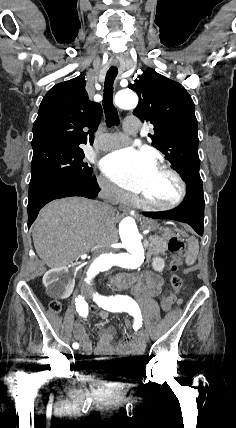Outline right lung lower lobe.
<instances>
[{
  "mask_svg": "<svg viewBox=\"0 0 236 428\" xmlns=\"http://www.w3.org/2000/svg\"><path fill=\"white\" fill-rule=\"evenodd\" d=\"M99 191L94 175L88 178H59L29 186L28 228L36 219L39 210L48 202L71 196L94 199Z\"/></svg>",
  "mask_w": 236,
  "mask_h": 428,
  "instance_id": "obj_1",
  "label": "right lung lower lobe"
}]
</instances>
